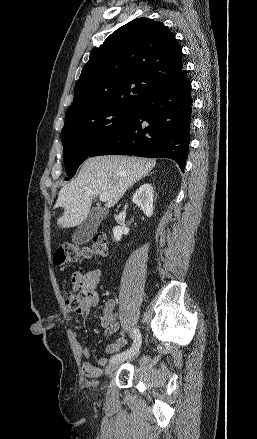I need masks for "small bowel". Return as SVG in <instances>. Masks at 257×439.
<instances>
[{
	"label": "small bowel",
	"instance_id": "obj_1",
	"mask_svg": "<svg viewBox=\"0 0 257 439\" xmlns=\"http://www.w3.org/2000/svg\"><path fill=\"white\" fill-rule=\"evenodd\" d=\"M99 277L100 274L97 270H90L85 273L74 272L71 276L73 289L83 291L86 297L84 310L80 313L83 317H87L90 310L98 306L100 302V296L97 292ZM115 304L114 300H107L103 305L102 314L100 316V326L108 338L113 337L120 330V324L114 313ZM127 343L126 337L122 334L105 347V352L107 354L118 353ZM91 354L92 348L90 346L81 347V355L84 359L83 373L87 378H97L103 374L104 368L109 365V360L105 357H101L97 359L96 364H92L89 362Z\"/></svg>",
	"mask_w": 257,
	"mask_h": 439
}]
</instances>
